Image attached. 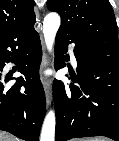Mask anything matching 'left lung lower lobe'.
<instances>
[{
    "instance_id": "1",
    "label": "left lung lower lobe",
    "mask_w": 119,
    "mask_h": 141,
    "mask_svg": "<svg viewBox=\"0 0 119 141\" xmlns=\"http://www.w3.org/2000/svg\"><path fill=\"white\" fill-rule=\"evenodd\" d=\"M74 43L79 87L54 80L55 141L106 136L119 141V56L92 52L70 32L60 31L55 42V68H63L67 45ZM74 80V79H73Z\"/></svg>"
}]
</instances>
